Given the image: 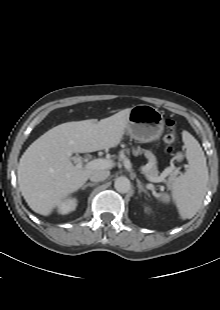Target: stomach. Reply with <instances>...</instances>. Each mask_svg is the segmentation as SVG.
Segmentation results:
<instances>
[{"label":"stomach","instance_id":"obj_1","mask_svg":"<svg viewBox=\"0 0 220 310\" xmlns=\"http://www.w3.org/2000/svg\"><path fill=\"white\" fill-rule=\"evenodd\" d=\"M164 129L162 113L147 104L133 106L130 110L125 132L140 142H151L160 138Z\"/></svg>","mask_w":220,"mask_h":310}]
</instances>
